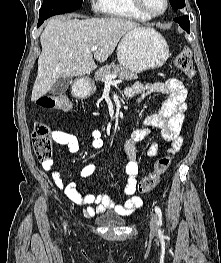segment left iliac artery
Listing matches in <instances>:
<instances>
[{
	"mask_svg": "<svg viewBox=\"0 0 221 263\" xmlns=\"http://www.w3.org/2000/svg\"><path fill=\"white\" fill-rule=\"evenodd\" d=\"M155 212H156V215L158 216V221H157V223H158L159 225H161V224H162V212H161V209H160L158 206H156V207H155Z\"/></svg>",
	"mask_w": 221,
	"mask_h": 263,
	"instance_id": "obj_1",
	"label": "left iliac artery"
}]
</instances>
